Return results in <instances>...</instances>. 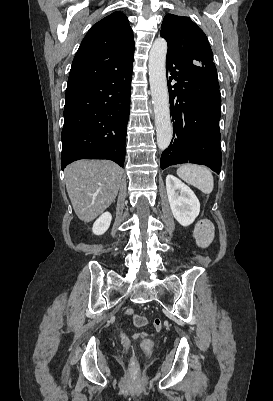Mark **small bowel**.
Returning <instances> with one entry per match:
<instances>
[{
  "mask_svg": "<svg viewBox=\"0 0 273 401\" xmlns=\"http://www.w3.org/2000/svg\"><path fill=\"white\" fill-rule=\"evenodd\" d=\"M198 243H199V245L201 246V247H206L207 246V244H208V241H198ZM124 316H125V318H127V319H130V318H132V316H133V313H132V308L131 307H128L127 308V311H125V313H124ZM134 321H147V319L144 317V316H141V315H136L135 317H134ZM161 323H162V320L160 319V318H155L154 319V328H155V333L156 334H161L162 333V328H161ZM126 335V334H125ZM141 336L142 337H145L146 336V333L145 332H142L141 333Z\"/></svg>",
  "mask_w": 273,
  "mask_h": 401,
  "instance_id": "small-bowel-1",
  "label": "small bowel"
}]
</instances>
